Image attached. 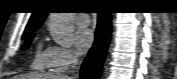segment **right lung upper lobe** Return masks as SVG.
I'll return each instance as SVG.
<instances>
[{"label": "right lung upper lobe", "mask_w": 177, "mask_h": 79, "mask_svg": "<svg viewBox=\"0 0 177 79\" xmlns=\"http://www.w3.org/2000/svg\"><path fill=\"white\" fill-rule=\"evenodd\" d=\"M47 11L43 9H38L37 11L32 13V16L26 26L25 32L29 30H34L38 29L41 24L44 22L46 16H47Z\"/></svg>", "instance_id": "cb5924a9"}]
</instances>
